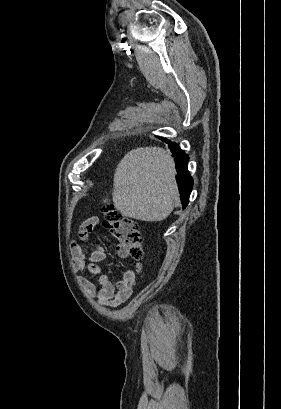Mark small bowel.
Returning a JSON list of instances; mask_svg holds the SVG:
<instances>
[{"label": "small bowel", "mask_w": 281, "mask_h": 409, "mask_svg": "<svg viewBox=\"0 0 281 409\" xmlns=\"http://www.w3.org/2000/svg\"><path fill=\"white\" fill-rule=\"evenodd\" d=\"M101 220L100 215H93L88 217V222H81L80 234L85 236L81 238L86 239L88 235H96L98 229L95 224H100ZM115 248L119 250L120 256H126V252L119 245ZM71 251L73 255V268L76 271L85 269L100 288L97 290L96 284L85 277H79L80 284L90 295L96 296L101 304L117 306L130 298L135 284L136 274L141 270V265H138L136 269L126 270L121 280L113 283L97 266V263L105 258V251L102 247H94L87 256L82 246L76 241H73L71 243Z\"/></svg>", "instance_id": "1"}]
</instances>
